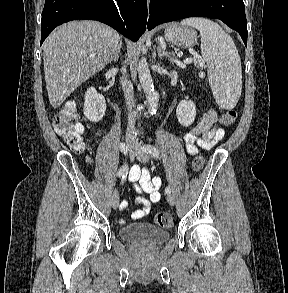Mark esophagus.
<instances>
[{"instance_id":"1","label":"esophagus","mask_w":288,"mask_h":293,"mask_svg":"<svg viewBox=\"0 0 288 293\" xmlns=\"http://www.w3.org/2000/svg\"><path fill=\"white\" fill-rule=\"evenodd\" d=\"M147 3L149 4L150 3V0H147Z\"/></svg>"}]
</instances>
